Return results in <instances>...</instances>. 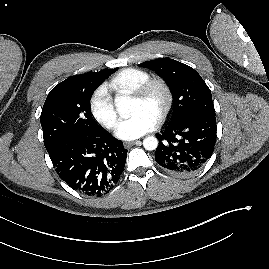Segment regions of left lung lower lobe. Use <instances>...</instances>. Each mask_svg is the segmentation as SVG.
Returning a JSON list of instances; mask_svg holds the SVG:
<instances>
[{"instance_id": "0a47b994", "label": "left lung lower lobe", "mask_w": 269, "mask_h": 269, "mask_svg": "<svg viewBox=\"0 0 269 269\" xmlns=\"http://www.w3.org/2000/svg\"><path fill=\"white\" fill-rule=\"evenodd\" d=\"M215 115L189 116L170 123L156 137L155 160L169 173L187 176L200 170L211 158L216 143Z\"/></svg>"}]
</instances>
